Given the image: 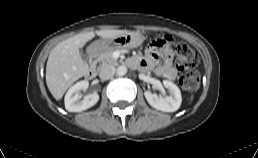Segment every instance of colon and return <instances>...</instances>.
<instances>
[{"instance_id": "1", "label": "colon", "mask_w": 258, "mask_h": 158, "mask_svg": "<svg viewBox=\"0 0 258 158\" xmlns=\"http://www.w3.org/2000/svg\"><path fill=\"white\" fill-rule=\"evenodd\" d=\"M171 42V38L168 36H162L154 39L150 47L154 49H160ZM176 48V65L183 71L179 78V84L187 91H196L199 87V75L194 68L199 63L197 54L187 45L177 43Z\"/></svg>"}]
</instances>
